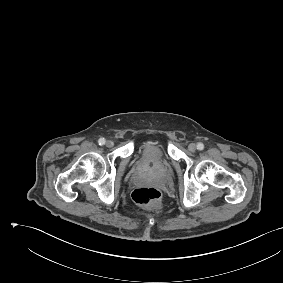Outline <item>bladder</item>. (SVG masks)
Masks as SVG:
<instances>
[{
	"label": "bladder",
	"mask_w": 283,
	"mask_h": 283,
	"mask_svg": "<svg viewBox=\"0 0 283 283\" xmlns=\"http://www.w3.org/2000/svg\"><path fill=\"white\" fill-rule=\"evenodd\" d=\"M138 161L141 164L148 165L151 163L165 164L167 156L163 146L157 142H145L138 150Z\"/></svg>",
	"instance_id": "31cf9c89"
}]
</instances>
